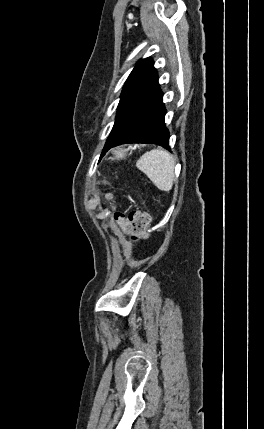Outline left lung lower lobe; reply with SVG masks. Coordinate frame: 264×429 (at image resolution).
<instances>
[{
	"mask_svg": "<svg viewBox=\"0 0 264 429\" xmlns=\"http://www.w3.org/2000/svg\"><path fill=\"white\" fill-rule=\"evenodd\" d=\"M165 113L162 91L158 86L141 101L120 136L105 149L126 143H153L170 149L169 132L164 124Z\"/></svg>",
	"mask_w": 264,
	"mask_h": 429,
	"instance_id": "obj_1",
	"label": "left lung lower lobe"
}]
</instances>
